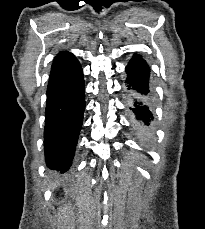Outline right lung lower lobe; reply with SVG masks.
<instances>
[{
  "mask_svg": "<svg viewBox=\"0 0 205 229\" xmlns=\"http://www.w3.org/2000/svg\"><path fill=\"white\" fill-rule=\"evenodd\" d=\"M84 79L77 59L59 53L53 60L45 110L47 166L66 172L74 156L85 108Z\"/></svg>",
  "mask_w": 205,
  "mask_h": 229,
  "instance_id": "98d812e1",
  "label": "right lung lower lobe"
}]
</instances>
